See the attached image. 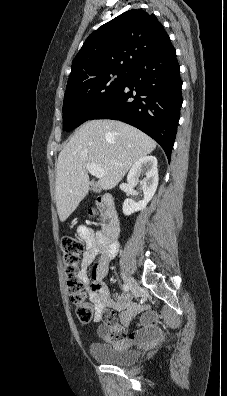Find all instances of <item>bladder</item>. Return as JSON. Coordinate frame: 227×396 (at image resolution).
<instances>
[{
  "label": "bladder",
  "instance_id": "bladder-1",
  "mask_svg": "<svg viewBox=\"0 0 227 396\" xmlns=\"http://www.w3.org/2000/svg\"><path fill=\"white\" fill-rule=\"evenodd\" d=\"M89 353L96 361L115 365L127 366L136 362L140 353L125 343L108 344L93 342L89 345Z\"/></svg>",
  "mask_w": 227,
  "mask_h": 396
}]
</instances>
